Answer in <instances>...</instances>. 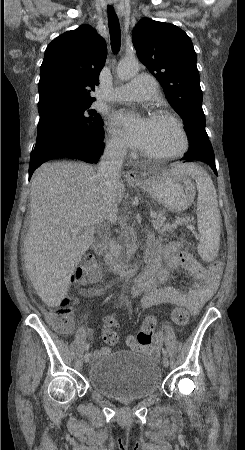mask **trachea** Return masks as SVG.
Returning a JSON list of instances; mask_svg holds the SVG:
<instances>
[{
  "instance_id": "3493384b",
  "label": "trachea",
  "mask_w": 245,
  "mask_h": 450,
  "mask_svg": "<svg viewBox=\"0 0 245 450\" xmlns=\"http://www.w3.org/2000/svg\"><path fill=\"white\" fill-rule=\"evenodd\" d=\"M108 26L110 31L111 47L114 53H117L121 46V30L114 7H108Z\"/></svg>"
}]
</instances>
